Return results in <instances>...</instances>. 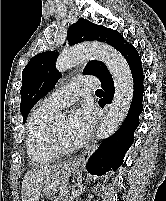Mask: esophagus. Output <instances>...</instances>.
Returning a JSON list of instances; mask_svg holds the SVG:
<instances>
[{
    "mask_svg": "<svg viewBox=\"0 0 166 201\" xmlns=\"http://www.w3.org/2000/svg\"><path fill=\"white\" fill-rule=\"evenodd\" d=\"M108 107L109 106L106 105L103 108V116L107 113ZM96 149H97V141L93 140V142L91 143L89 148H87V150L75 161V164L79 165V164H82L85 161H87L89 159V157L95 152Z\"/></svg>",
    "mask_w": 166,
    "mask_h": 201,
    "instance_id": "34e87169",
    "label": "esophagus"
}]
</instances>
